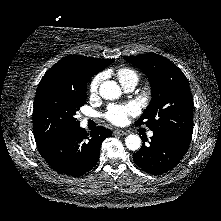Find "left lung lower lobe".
Instances as JSON below:
<instances>
[{
	"instance_id": "left-lung-lower-lobe-1",
	"label": "left lung lower lobe",
	"mask_w": 221,
	"mask_h": 221,
	"mask_svg": "<svg viewBox=\"0 0 221 221\" xmlns=\"http://www.w3.org/2000/svg\"><path fill=\"white\" fill-rule=\"evenodd\" d=\"M189 138L163 132H154L149 145L145 142L133 160L144 171L160 175L173 169L187 152Z\"/></svg>"
}]
</instances>
